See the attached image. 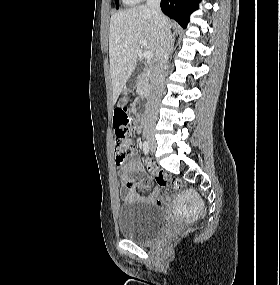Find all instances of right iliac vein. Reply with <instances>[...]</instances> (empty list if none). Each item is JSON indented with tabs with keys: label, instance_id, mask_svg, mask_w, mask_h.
Returning a JSON list of instances; mask_svg holds the SVG:
<instances>
[{
	"label": "right iliac vein",
	"instance_id": "right-iliac-vein-1",
	"mask_svg": "<svg viewBox=\"0 0 280 285\" xmlns=\"http://www.w3.org/2000/svg\"><path fill=\"white\" fill-rule=\"evenodd\" d=\"M145 137H146V139H147V141H148V143H149L150 149H151L152 151H154L155 148H156V142H155V139H154L153 132H147V133L145 134Z\"/></svg>",
	"mask_w": 280,
	"mask_h": 285
}]
</instances>
